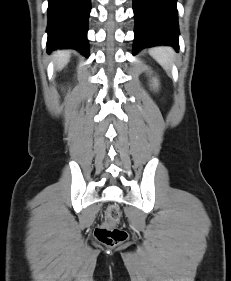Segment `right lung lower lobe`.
<instances>
[{"instance_id": "obj_1", "label": "right lung lower lobe", "mask_w": 231, "mask_h": 281, "mask_svg": "<svg viewBox=\"0 0 231 281\" xmlns=\"http://www.w3.org/2000/svg\"><path fill=\"white\" fill-rule=\"evenodd\" d=\"M47 52L72 48L89 54L86 38L90 0H48Z\"/></svg>"}]
</instances>
